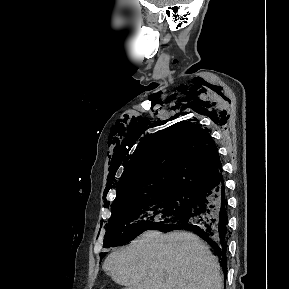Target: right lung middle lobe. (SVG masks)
Masks as SVG:
<instances>
[{
	"mask_svg": "<svg viewBox=\"0 0 289 289\" xmlns=\"http://www.w3.org/2000/svg\"><path fill=\"white\" fill-rule=\"evenodd\" d=\"M193 191L171 190L130 197L112 205L104 248L125 244L186 212Z\"/></svg>",
	"mask_w": 289,
	"mask_h": 289,
	"instance_id": "dd1d6c3e",
	"label": "right lung middle lobe"
}]
</instances>
